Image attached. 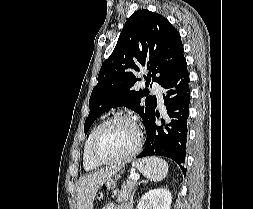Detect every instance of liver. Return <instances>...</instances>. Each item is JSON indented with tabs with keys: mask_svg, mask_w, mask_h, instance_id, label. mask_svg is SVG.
<instances>
[{
	"mask_svg": "<svg viewBox=\"0 0 253 209\" xmlns=\"http://www.w3.org/2000/svg\"><path fill=\"white\" fill-rule=\"evenodd\" d=\"M119 169L120 167L116 166L107 167L80 177L76 190L77 209H93V202L98 189Z\"/></svg>",
	"mask_w": 253,
	"mask_h": 209,
	"instance_id": "obj_1",
	"label": "liver"
}]
</instances>
